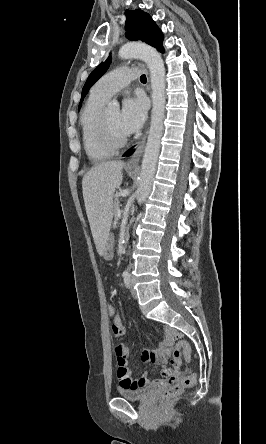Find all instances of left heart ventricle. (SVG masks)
Instances as JSON below:
<instances>
[{
	"instance_id": "obj_1",
	"label": "left heart ventricle",
	"mask_w": 266,
	"mask_h": 444,
	"mask_svg": "<svg viewBox=\"0 0 266 444\" xmlns=\"http://www.w3.org/2000/svg\"><path fill=\"white\" fill-rule=\"evenodd\" d=\"M119 112L116 110L106 111V119L109 127L110 134L115 139H121L127 134L122 130L119 124Z\"/></svg>"
}]
</instances>
